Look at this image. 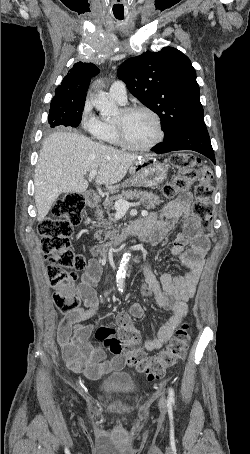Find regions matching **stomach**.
I'll list each match as a JSON object with an SVG mask.
<instances>
[{
  "label": "stomach",
  "mask_w": 250,
  "mask_h": 454,
  "mask_svg": "<svg viewBox=\"0 0 250 454\" xmlns=\"http://www.w3.org/2000/svg\"><path fill=\"white\" fill-rule=\"evenodd\" d=\"M131 184L135 186H156L167 175V165L152 156L138 158L130 167Z\"/></svg>",
  "instance_id": "1"
}]
</instances>
